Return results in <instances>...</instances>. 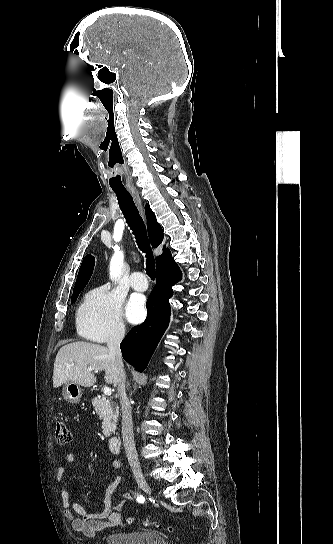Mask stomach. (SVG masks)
Here are the masks:
<instances>
[{
    "mask_svg": "<svg viewBox=\"0 0 333 544\" xmlns=\"http://www.w3.org/2000/svg\"><path fill=\"white\" fill-rule=\"evenodd\" d=\"M62 395L64 400L71 404H76L80 401L82 396V389L76 383L68 381L65 383L62 389Z\"/></svg>",
    "mask_w": 333,
    "mask_h": 544,
    "instance_id": "stomach-1",
    "label": "stomach"
}]
</instances>
